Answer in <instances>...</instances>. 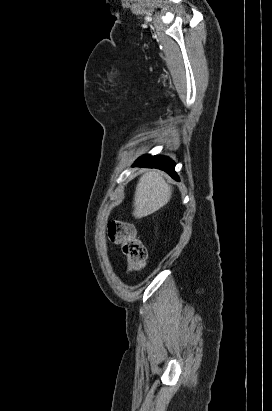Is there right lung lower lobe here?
<instances>
[{
    "mask_svg": "<svg viewBox=\"0 0 272 411\" xmlns=\"http://www.w3.org/2000/svg\"><path fill=\"white\" fill-rule=\"evenodd\" d=\"M136 165L164 170L169 173L172 178L179 180L176 172L174 171V162L167 157L145 155L140 157L133 166Z\"/></svg>",
    "mask_w": 272,
    "mask_h": 411,
    "instance_id": "98d812e1",
    "label": "right lung lower lobe"
}]
</instances>
